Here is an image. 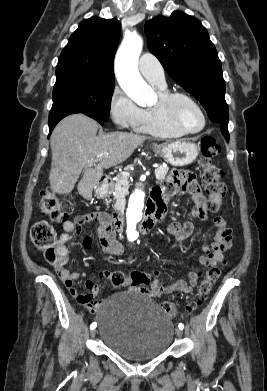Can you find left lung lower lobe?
I'll return each instance as SVG.
<instances>
[{"label": "left lung lower lobe", "instance_id": "left-lung-lower-lobe-1", "mask_svg": "<svg viewBox=\"0 0 267 391\" xmlns=\"http://www.w3.org/2000/svg\"><path fill=\"white\" fill-rule=\"evenodd\" d=\"M220 127H221V132L222 134L224 135V137L226 138L227 141H229V132H228V123H219Z\"/></svg>", "mask_w": 267, "mask_h": 391}]
</instances>
